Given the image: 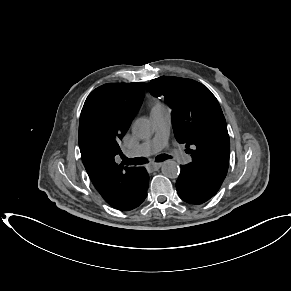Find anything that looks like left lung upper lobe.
Returning a JSON list of instances; mask_svg holds the SVG:
<instances>
[{"label":"left lung upper lobe","mask_w":291,"mask_h":291,"mask_svg":"<svg viewBox=\"0 0 291 291\" xmlns=\"http://www.w3.org/2000/svg\"><path fill=\"white\" fill-rule=\"evenodd\" d=\"M150 93L163 95L172 108L179 143L191 154L189 165L223 181L229 165L230 140L221 107L212 92L192 79L161 76L149 84Z\"/></svg>","instance_id":"5c2ea615"}]
</instances>
